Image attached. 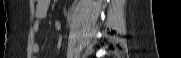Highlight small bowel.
Segmentation results:
<instances>
[{"instance_id": "small-bowel-1", "label": "small bowel", "mask_w": 181, "mask_h": 58, "mask_svg": "<svg viewBox=\"0 0 181 58\" xmlns=\"http://www.w3.org/2000/svg\"><path fill=\"white\" fill-rule=\"evenodd\" d=\"M50 6V0H38L35 8V21L33 25V32L38 33L41 22L45 19L48 13ZM57 29L61 28L60 23L56 24ZM60 44H58V47ZM32 50L34 53H38L40 50V45L37 42H34L32 45Z\"/></svg>"}]
</instances>
